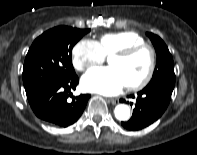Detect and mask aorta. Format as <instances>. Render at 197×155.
<instances>
[{"instance_id":"aorta-1","label":"aorta","mask_w":197,"mask_h":155,"mask_svg":"<svg viewBox=\"0 0 197 155\" xmlns=\"http://www.w3.org/2000/svg\"><path fill=\"white\" fill-rule=\"evenodd\" d=\"M116 119L126 121L130 118V108L125 104H119L114 109Z\"/></svg>"}]
</instances>
